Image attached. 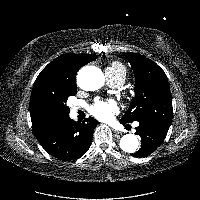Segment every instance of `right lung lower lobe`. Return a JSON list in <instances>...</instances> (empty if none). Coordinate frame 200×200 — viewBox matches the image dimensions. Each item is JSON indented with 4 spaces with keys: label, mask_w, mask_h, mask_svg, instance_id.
Returning a JSON list of instances; mask_svg holds the SVG:
<instances>
[{
    "label": "right lung lower lobe",
    "mask_w": 200,
    "mask_h": 200,
    "mask_svg": "<svg viewBox=\"0 0 200 200\" xmlns=\"http://www.w3.org/2000/svg\"><path fill=\"white\" fill-rule=\"evenodd\" d=\"M97 120L92 117L75 122L68 115L42 118L32 124L43 148L63 161L79 159L90 147Z\"/></svg>",
    "instance_id": "1"
}]
</instances>
